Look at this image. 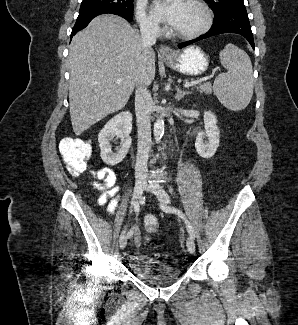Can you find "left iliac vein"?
Returning <instances> with one entry per match:
<instances>
[{
	"label": "left iliac vein",
	"mask_w": 298,
	"mask_h": 325,
	"mask_svg": "<svg viewBox=\"0 0 298 325\" xmlns=\"http://www.w3.org/2000/svg\"><path fill=\"white\" fill-rule=\"evenodd\" d=\"M146 190L152 192L162 205H168L170 203V197L163 187L156 181L149 182L146 185ZM187 249L190 253L195 252V242L194 239L189 235L186 240Z\"/></svg>",
	"instance_id": "1"
}]
</instances>
